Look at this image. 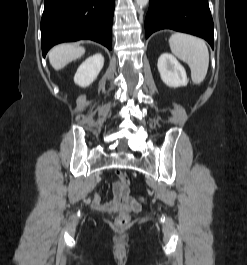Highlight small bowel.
<instances>
[{
  "label": "small bowel",
  "instance_id": "1",
  "mask_svg": "<svg viewBox=\"0 0 247 265\" xmlns=\"http://www.w3.org/2000/svg\"><path fill=\"white\" fill-rule=\"evenodd\" d=\"M114 197L110 202H103L101 195L95 193L92 200L93 207L103 213H138L141 210L140 204L129 196V192H123L119 184L114 185Z\"/></svg>",
  "mask_w": 247,
  "mask_h": 265
}]
</instances>
